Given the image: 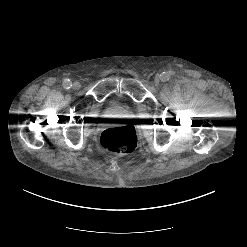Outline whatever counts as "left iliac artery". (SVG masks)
Wrapping results in <instances>:
<instances>
[{"label": "left iliac artery", "mask_w": 247, "mask_h": 247, "mask_svg": "<svg viewBox=\"0 0 247 247\" xmlns=\"http://www.w3.org/2000/svg\"><path fill=\"white\" fill-rule=\"evenodd\" d=\"M160 78H161V80H162L163 82H166V81L169 80L170 76H169L168 73L163 72V73L160 75Z\"/></svg>", "instance_id": "obj_1"}]
</instances>
